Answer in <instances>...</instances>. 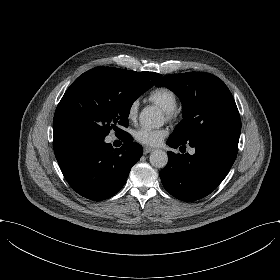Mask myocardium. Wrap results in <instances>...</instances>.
Masks as SVG:
<instances>
[{
	"instance_id": "f54148a6",
	"label": "myocardium",
	"mask_w": 280,
	"mask_h": 280,
	"mask_svg": "<svg viewBox=\"0 0 280 280\" xmlns=\"http://www.w3.org/2000/svg\"><path fill=\"white\" fill-rule=\"evenodd\" d=\"M165 115H166V117H167L169 120H171V119H173V118L176 117L177 112H176L175 109H173V110H165Z\"/></svg>"
}]
</instances>
